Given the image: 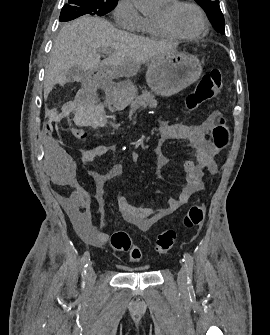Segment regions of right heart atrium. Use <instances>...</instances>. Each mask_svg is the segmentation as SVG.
I'll return each mask as SVG.
<instances>
[{"mask_svg":"<svg viewBox=\"0 0 270 335\" xmlns=\"http://www.w3.org/2000/svg\"><path fill=\"white\" fill-rule=\"evenodd\" d=\"M116 24L126 30H139L142 16L140 15L135 0H119L113 12Z\"/></svg>","mask_w":270,"mask_h":335,"instance_id":"d8ad5b80","label":"right heart atrium"}]
</instances>
